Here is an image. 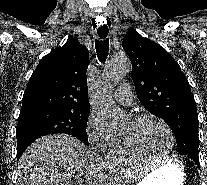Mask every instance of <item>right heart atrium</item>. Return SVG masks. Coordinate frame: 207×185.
I'll return each instance as SVG.
<instances>
[{
    "mask_svg": "<svg viewBox=\"0 0 207 185\" xmlns=\"http://www.w3.org/2000/svg\"><path fill=\"white\" fill-rule=\"evenodd\" d=\"M86 133L89 143L97 151L105 150L117 134L105 114L99 110L90 113Z\"/></svg>",
    "mask_w": 207,
    "mask_h": 185,
    "instance_id": "d8ad5b80",
    "label": "right heart atrium"
}]
</instances>
